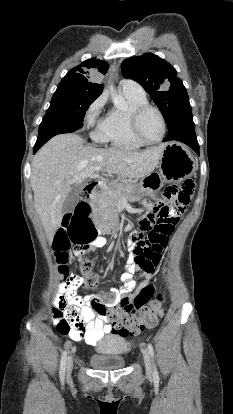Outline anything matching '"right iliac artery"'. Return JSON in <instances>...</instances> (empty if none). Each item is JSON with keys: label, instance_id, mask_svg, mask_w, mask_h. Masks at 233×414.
I'll list each match as a JSON object with an SVG mask.
<instances>
[{"label": "right iliac artery", "instance_id": "1", "mask_svg": "<svg viewBox=\"0 0 233 414\" xmlns=\"http://www.w3.org/2000/svg\"><path fill=\"white\" fill-rule=\"evenodd\" d=\"M66 360H67V351L65 350L62 354L61 357V362H60V380L64 381V377H65V368H66Z\"/></svg>", "mask_w": 233, "mask_h": 414}]
</instances>
